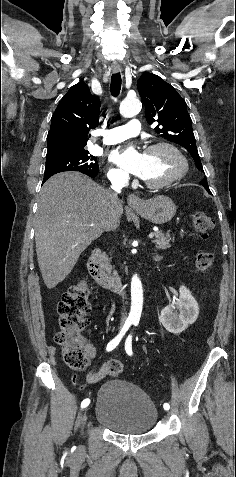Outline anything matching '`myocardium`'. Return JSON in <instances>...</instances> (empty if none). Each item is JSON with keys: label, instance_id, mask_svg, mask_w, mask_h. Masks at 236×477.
<instances>
[{"label": "myocardium", "instance_id": "obj_1", "mask_svg": "<svg viewBox=\"0 0 236 477\" xmlns=\"http://www.w3.org/2000/svg\"><path fill=\"white\" fill-rule=\"evenodd\" d=\"M160 148H166L169 151H171L180 160L181 169L172 177L161 182H150V181L142 179V182L144 183V185L152 189H162V188H166L175 184L176 182L181 180L187 174L189 170V162L186 156L181 152V150L177 146H175L174 144L170 142L162 141V142L153 143L147 147L146 153L156 149H160Z\"/></svg>", "mask_w": 236, "mask_h": 477}]
</instances>
